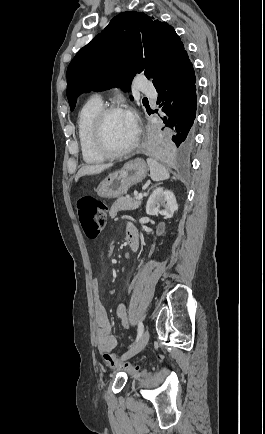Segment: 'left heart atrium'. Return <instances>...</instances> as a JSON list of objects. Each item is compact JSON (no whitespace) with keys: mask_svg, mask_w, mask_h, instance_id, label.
I'll list each match as a JSON object with an SVG mask.
<instances>
[{"mask_svg":"<svg viewBox=\"0 0 265 434\" xmlns=\"http://www.w3.org/2000/svg\"><path fill=\"white\" fill-rule=\"evenodd\" d=\"M124 118L127 121L128 125L131 127L133 131L137 133V123L134 117V114L131 110L126 109L123 112Z\"/></svg>","mask_w":265,"mask_h":434,"instance_id":"1","label":"left heart atrium"}]
</instances>
